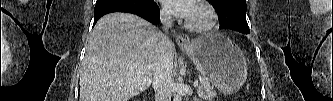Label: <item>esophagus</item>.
<instances>
[{
    "label": "esophagus",
    "mask_w": 333,
    "mask_h": 101,
    "mask_svg": "<svg viewBox=\"0 0 333 101\" xmlns=\"http://www.w3.org/2000/svg\"><path fill=\"white\" fill-rule=\"evenodd\" d=\"M176 42L180 47H189L191 44V40L186 33L176 35Z\"/></svg>",
    "instance_id": "34e87169"
}]
</instances>
